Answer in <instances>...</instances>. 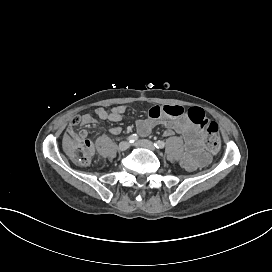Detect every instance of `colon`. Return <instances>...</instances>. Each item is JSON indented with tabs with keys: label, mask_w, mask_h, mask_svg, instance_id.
Instances as JSON below:
<instances>
[{
	"label": "colon",
	"mask_w": 272,
	"mask_h": 272,
	"mask_svg": "<svg viewBox=\"0 0 272 272\" xmlns=\"http://www.w3.org/2000/svg\"><path fill=\"white\" fill-rule=\"evenodd\" d=\"M187 112L191 122L200 128L207 149L216 152L221 146L218 123L209 119L206 111L194 105L189 106ZM65 148L78 170H87L91 166V143L87 139H81L78 135H69L65 139Z\"/></svg>",
	"instance_id": "5ec220e1"
}]
</instances>
